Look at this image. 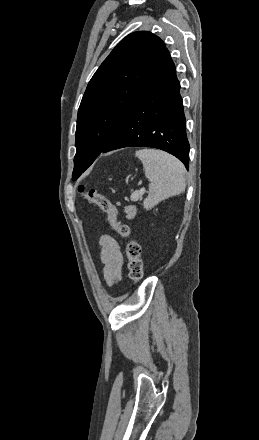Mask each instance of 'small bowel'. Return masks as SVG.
Masks as SVG:
<instances>
[{"mask_svg": "<svg viewBox=\"0 0 259 440\" xmlns=\"http://www.w3.org/2000/svg\"><path fill=\"white\" fill-rule=\"evenodd\" d=\"M100 262L103 265V275L108 285H114L122 276L124 262L119 243L110 235H103L99 241Z\"/></svg>", "mask_w": 259, "mask_h": 440, "instance_id": "small-bowel-1", "label": "small bowel"}]
</instances>
